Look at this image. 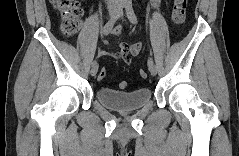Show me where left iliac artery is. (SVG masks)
<instances>
[{"instance_id": "44dca946", "label": "left iliac artery", "mask_w": 239, "mask_h": 156, "mask_svg": "<svg viewBox=\"0 0 239 156\" xmlns=\"http://www.w3.org/2000/svg\"><path fill=\"white\" fill-rule=\"evenodd\" d=\"M125 10H126V14H127L128 19L130 20V22L133 23V24H137V17L135 15V12L133 10L131 2H127L125 4ZM147 63H148V66L153 65L154 64L153 59L149 58Z\"/></svg>"}]
</instances>
